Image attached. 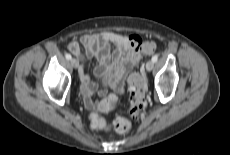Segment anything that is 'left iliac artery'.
<instances>
[{
  "label": "left iliac artery",
  "instance_id": "1",
  "mask_svg": "<svg viewBox=\"0 0 230 155\" xmlns=\"http://www.w3.org/2000/svg\"><path fill=\"white\" fill-rule=\"evenodd\" d=\"M157 60H158V56H157V55H154V56L152 57V61H153V62H157Z\"/></svg>",
  "mask_w": 230,
  "mask_h": 155
}]
</instances>
